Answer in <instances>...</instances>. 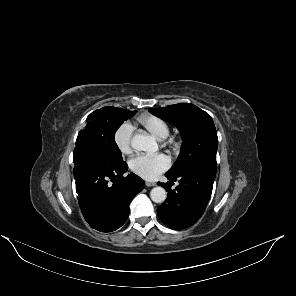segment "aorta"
Instances as JSON below:
<instances>
[{
  "mask_svg": "<svg viewBox=\"0 0 296 296\" xmlns=\"http://www.w3.org/2000/svg\"><path fill=\"white\" fill-rule=\"evenodd\" d=\"M131 145L138 151L155 152L158 149L155 139L146 133L136 134ZM150 197L155 203H163L167 197V192L163 187L156 186L151 190Z\"/></svg>",
  "mask_w": 296,
  "mask_h": 296,
  "instance_id": "762f6f07",
  "label": "aorta"
}]
</instances>
